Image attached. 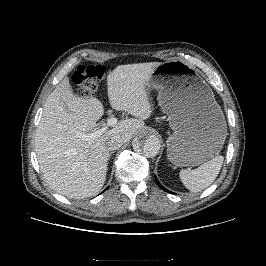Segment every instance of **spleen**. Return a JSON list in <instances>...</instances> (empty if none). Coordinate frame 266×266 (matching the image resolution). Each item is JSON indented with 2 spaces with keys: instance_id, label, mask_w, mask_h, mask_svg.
Wrapping results in <instances>:
<instances>
[{
  "instance_id": "3e777b00",
  "label": "spleen",
  "mask_w": 266,
  "mask_h": 266,
  "mask_svg": "<svg viewBox=\"0 0 266 266\" xmlns=\"http://www.w3.org/2000/svg\"><path fill=\"white\" fill-rule=\"evenodd\" d=\"M224 157L218 155L194 170H181L180 179L191 192H200L209 187L218 176Z\"/></svg>"
}]
</instances>
